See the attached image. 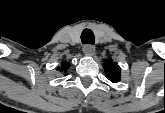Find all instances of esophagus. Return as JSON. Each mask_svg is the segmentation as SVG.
<instances>
[{
  "instance_id": "obj_1",
  "label": "esophagus",
  "mask_w": 165,
  "mask_h": 113,
  "mask_svg": "<svg viewBox=\"0 0 165 113\" xmlns=\"http://www.w3.org/2000/svg\"><path fill=\"white\" fill-rule=\"evenodd\" d=\"M83 52L86 54V55H93L94 52H95V47L91 44H87L83 47Z\"/></svg>"
}]
</instances>
